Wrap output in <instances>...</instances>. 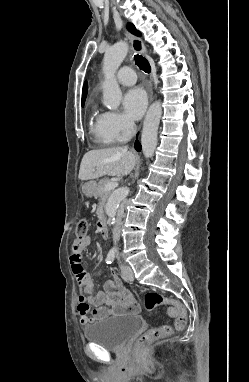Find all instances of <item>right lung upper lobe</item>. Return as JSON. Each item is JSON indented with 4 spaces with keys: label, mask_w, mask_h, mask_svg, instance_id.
Here are the masks:
<instances>
[{
    "label": "right lung upper lobe",
    "mask_w": 249,
    "mask_h": 382,
    "mask_svg": "<svg viewBox=\"0 0 249 382\" xmlns=\"http://www.w3.org/2000/svg\"><path fill=\"white\" fill-rule=\"evenodd\" d=\"M87 95V84H84L83 91H82V105L84 104L85 98Z\"/></svg>",
    "instance_id": "cb5924a9"
}]
</instances>
